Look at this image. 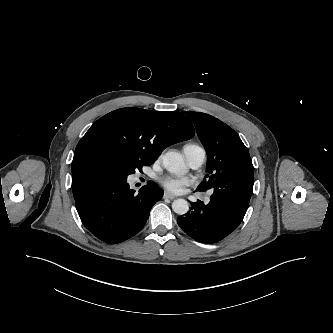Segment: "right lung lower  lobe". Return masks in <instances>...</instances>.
<instances>
[{
    "label": "right lung lower lobe",
    "instance_id": "right-lung-lower-lobe-1",
    "mask_svg": "<svg viewBox=\"0 0 333 333\" xmlns=\"http://www.w3.org/2000/svg\"><path fill=\"white\" fill-rule=\"evenodd\" d=\"M72 190L84 226L98 239L111 244L138 233L152 206L162 197L156 184L142 187L136 195L127 179L110 177L86 166L72 172Z\"/></svg>",
    "mask_w": 333,
    "mask_h": 333
}]
</instances>
